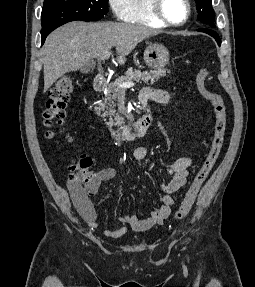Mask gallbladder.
Returning a JSON list of instances; mask_svg holds the SVG:
<instances>
[{
  "instance_id": "obj_1",
  "label": "gallbladder",
  "mask_w": 255,
  "mask_h": 287,
  "mask_svg": "<svg viewBox=\"0 0 255 287\" xmlns=\"http://www.w3.org/2000/svg\"><path fill=\"white\" fill-rule=\"evenodd\" d=\"M86 70H89V68H87V66H85V68H82V70H81L82 74H85Z\"/></svg>"
}]
</instances>
